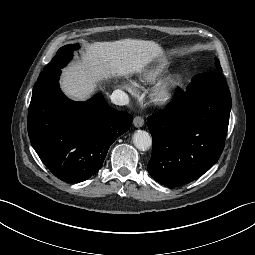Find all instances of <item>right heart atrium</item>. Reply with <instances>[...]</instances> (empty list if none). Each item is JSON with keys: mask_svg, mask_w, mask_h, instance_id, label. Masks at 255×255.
<instances>
[{"mask_svg": "<svg viewBox=\"0 0 255 255\" xmlns=\"http://www.w3.org/2000/svg\"><path fill=\"white\" fill-rule=\"evenodd\" d=\"M125 88H126L128 91H130V92L133 91V86L130 85V84H126V85H125Z\"/></svg>", "mask_w": 255, "mask_h": 255, "instance_id": "d8ad5b80", "label": "right heart atrium"}]
</instances>
